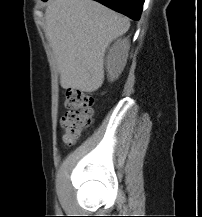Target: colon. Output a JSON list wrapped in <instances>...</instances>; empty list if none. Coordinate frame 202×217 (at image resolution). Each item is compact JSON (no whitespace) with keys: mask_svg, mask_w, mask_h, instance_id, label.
<instances>
[{"mask_svg":"<svg viewBox=\"0 0 202 217\" xmlns=\"http://www.w3.org/2000/svg\"><path fill=\"white\" fill-rule=\"evenodd\" d=\"M94 99L89 94L73 89L65 91L66 112L61 118L63 143L73 145L90 126Z\"/></svg>","mask_w":202,"mask_h":217,"instance_id":"obj_1","label":"colon"}]
</instances>
